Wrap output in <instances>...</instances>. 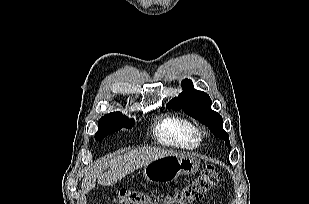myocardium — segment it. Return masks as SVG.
<instances>
[{"mask_svg":"<svg viewBox=\"0 0 309 204\" xmlns=\"http://www.w3.org/2000/svg\"><path fill=\"white\" fill-rule=\"evenodd\" d=\"M196 133L199 137L206 136L208 134L206 128L204 126L195 127Z\"/></svg>","mask_w":309,"mask_h":204,"instance_id":"obj_1","label":"myocardium"}]
</instances>
